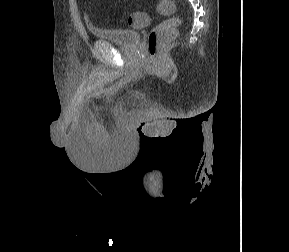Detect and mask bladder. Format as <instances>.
Masks as SVG:
<instances>
[{"label": "bladder", "instance_id": "31cf9c89", "mask_svg": "<svg viewBox=\"0 0 289 252\" xmlns=\"http://www.w3.org/2000/svg\"><path fill=\"white\" fill-rule=\"evenodd\" d=\"M92 34L104 40L124 47H132L140 41V33L134 30L121 28H92Z\"/></svg>", "mask_w": 289, "mask_h": 252}]
</instances>
